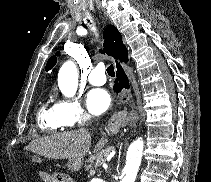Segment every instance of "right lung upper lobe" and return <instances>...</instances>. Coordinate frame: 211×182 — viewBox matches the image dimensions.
<instances>
[{
    "label": "right lung upper lobe",
    "instance_id": "obj_1",
    "mask_svg": "<svg viewBox=\"0 0 211 182\" xmlns=\"http://www.w3.org/2000/svg\"><path fill=\"white\" fill-rule=\"evenodd\" d=\"M104 38V51L101 50L102 53H106L107 55L113 56L116 59H119L120 56L125 52V45L122 42V36L117 28L113 25H109L106 27L103 33ZM56 56H59V52L56 53ZM56 56H52L47 64L46 71L52 69V67L56 64L57 58Z\"/></svg>",
    "mask_w": 211,
    "mask_h": 182
}]
</instances>
